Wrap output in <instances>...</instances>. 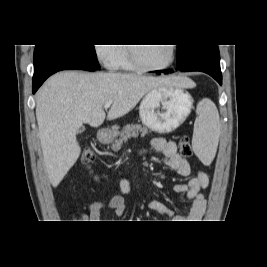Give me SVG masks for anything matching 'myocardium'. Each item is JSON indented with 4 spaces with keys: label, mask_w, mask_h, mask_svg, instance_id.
I'll use <instances>...</instances> for the list:
<instances>
[{
    "label": "myocardium",
    "mask_w": 267,
    "mask_h": 267,
    "mask_svg": "<svg viewBox=\"0 0 267 267\" xmlns=\"http://www.w3.org/2000/svg\"><path fill=\"white\" fill-rule=\"evenodd\" d=\"M133 44H130L127 47V53H128V59L130 61V63L138 70L141 71H147V72H155V71H161L164 69H167L168 67H170L174 61H175V57H176V46H174V44H169L170 45V50H171V56L170 59L167 63L161 65V66H148L143 64L135 51L134 46H132Z\"/></svg>",
    "instance_id": "1"
}]
</instances>
